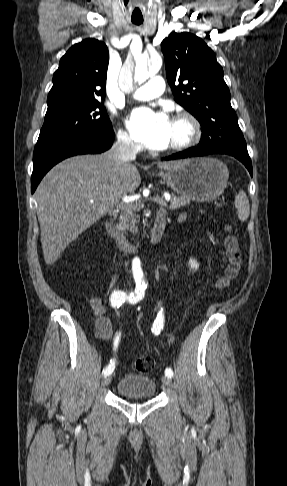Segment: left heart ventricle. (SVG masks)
Masks as SVG:
<instances>
[{"mask_svg": "<svg viewBox=\"0 0 287 486\" xmlns=\"http://www.w3.org/2000/svg\"><path fill=\"white\" fill-rule=\"evenodd\" d=\"M188 135V128L182 122L172 121L169 146L173 143L183 141Z\"/></svg>", "mask_w": 287, "mask_h": 486, "instance_id": "b2bd125f", "label": "left heart ventricle"}]
</instances>
